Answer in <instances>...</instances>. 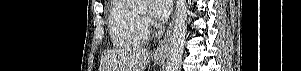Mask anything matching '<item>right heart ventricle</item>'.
Instances as JSON below:
<instances>
[{
	"label": "right heart ventricle",
	"instance_id": "obj_1",
	"mask_svg": "<svg viewBox=\"0 0 301 71\" xmlns=\"http://www.w3.org/2000/svg\"><path fill=\"white\" fill-rule=\"evenodd\" d=\"M108 27L111 40L116 46H139L146 43L148 39V31L129 0L113 2Z\"/></svg>",
	"mask_w": 301,
	"mask_h": 71
}]
</instances>
